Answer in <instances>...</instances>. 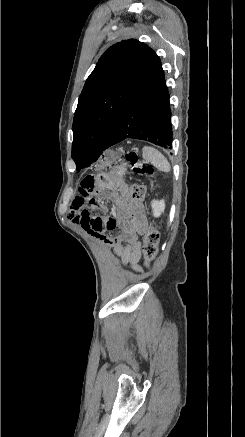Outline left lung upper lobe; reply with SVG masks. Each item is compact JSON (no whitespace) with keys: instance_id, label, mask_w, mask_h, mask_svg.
<instances>
[{"instance_id":"obj_1","label":"left lung upper lobe","mask_w":245,"mask_h":437,"mask_svg":"<svg viewBox=\"0 0 245 437\" xmlns=\"http://www.w3.org/2000/svg\"><path fill=\"white\" fill-rule=\"evenodd\" d=\"M157 58L153 49L135 39L112 45L100 57L74 114L71 156L77 171L102 154L120 112Z\"/></svg>"}]
</instances>
